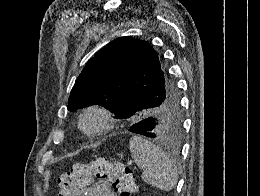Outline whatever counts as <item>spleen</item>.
I'll return each mask as SVG.
<instances>
[{
	"mask_svg": "<svg viewBox=\"0 0 260 196\" xmlns=\"http://www.w3.org/2000/svg\"><path fill=\"white\" fill-rule=\"evenodd\" d=\"M129 144V150L135 164L140 170H143L142 180L150 186H156L159 190L170 192L178 180L174 162L169 160L161 148L144 140L141 136H132Z\"/></svg>",
	"mask_w": 260,
	"mask_h": 196,
	"instance_id": "spleen-1",
	"label": "spleen"
}]
</instances>
